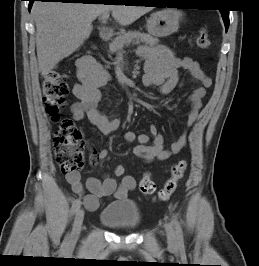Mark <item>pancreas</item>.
I'll return each instance as SVG.
<instances>
[{
	"label": "pancreas",
	"instance_id": "1",
	"mask_svg": "<svg viewBox=\"0 0 259 266\" xmlns=\"http://www.w3.org/2000/svg\"><path fill=\"white\" fill-rule=\"evenodd\" d=\"M159 40L151 35L141 33L139 31H128L119 34L109 44V51L117 53L123 50L125 46L144 44L143 49H153L158 44Z\"/></svg>",
	"mask_w": 259,
	"mask_h": 266
}]
</instances>
